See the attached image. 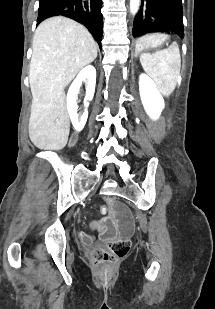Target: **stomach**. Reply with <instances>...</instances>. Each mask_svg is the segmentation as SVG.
I'll return each mask as SVG.
<instances>
[{"mask_svg": "<svg viewBox=\"0 0 215 309\" xmlns=\"http://www.w3.org/2000/svg\"><path fill=\"white\" fill-rule=\"evenodd\" d=\"M169 42L170 37L164 33H153L145 35L136 40L135 52L138 54L146 51L157 50L164 44L168 46ZM171 46L176 47L175 44H172Z\"/></svg>", "mask_w": 215, "mask_h": 309, "instance_id": "obj_1", "label": "stomach"}]
</instances>
